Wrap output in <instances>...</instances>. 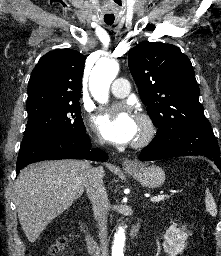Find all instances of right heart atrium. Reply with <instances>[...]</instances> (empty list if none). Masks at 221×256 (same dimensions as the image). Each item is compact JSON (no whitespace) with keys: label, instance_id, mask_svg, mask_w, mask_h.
Returning a JSON list of instances; mask_svg holds the SVG:
<instances>
[{"label":"right heart atrium","instance_id":"obj_1","mask_svg":"<svg viewBox=\"0 0 221 256\" xmlns=\"http://www.w3.org/2000/svg\"><path fill=\"white\" fill-rule=\"evenodd\" d=\"M97 141H98L99 143H103V140H102L101 138H98Z\"/></svg>","mask_w":221,"mask_h":256}]
</instances>
